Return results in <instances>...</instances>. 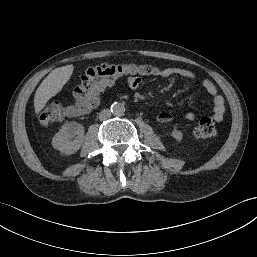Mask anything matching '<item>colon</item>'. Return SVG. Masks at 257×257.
I'll return each mask as SVG.
<instances>
[{"mask_svg":"<svg viewBox=\"0 0 257 257\" xmlns=\"http://www.w3.org/2000/svg\"><path fill=\"white\" fill-rule=\"evenodd\" d=\"M155 69L149 64H108L91 67L82 75L73 93V103L65 108L58 105H47L39 111L38 118L42 123L61 120L65 113L78 115L94 108L98 104L99 92L112 84L116 79L132 75H151ZM218 134L216 121L203 117L193 130L197 139L213 138Z\"/></svg>","mask_w":257,"mask_h":257,"instance_id":"colon-1","label":"colon"}]
</instances>
